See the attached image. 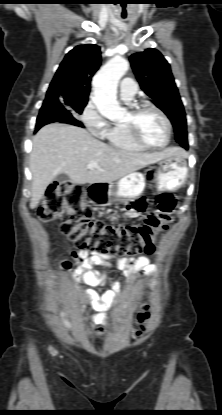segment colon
Returning <instances> with one entry per match:
<instances>
[{
	"instance_id": "5ec220e1",
	"label": "colon",
	"mask_w": 222,
	"mask_h": 415,
	"mask_svg": "<svg viewBox=\"0 0 222 415\" xmlns=\"http://www.w3.org/2000/svg\"><path fill=\"white\" fill-rule=\"evenodd\" d=\"M152 177V173H149ZM146 208L144 200L138 203ZM176 200L169 193L158 196L157 208L141 224L109 225L91 217V209L83 201V189L66 181L51 184L38 209L43 222L61 221V231L79 250L100 255L137 256L154 251L159 234L172 220ZM148 319L144 306L138 314L139 323ZM141 333V331H138Z\"/></svg>"
}]
</instances>
